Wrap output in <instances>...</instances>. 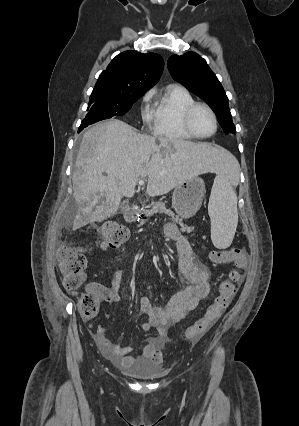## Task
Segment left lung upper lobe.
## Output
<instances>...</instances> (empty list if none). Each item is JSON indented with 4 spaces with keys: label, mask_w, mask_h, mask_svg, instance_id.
Instances as JSON below:
<instances>
[{
    "label": "left lung upper lobe",
    "mask_w": 299,
    "mask_h": 426,
    "mask_svg": "<svg viewBox=\"0 0 299 426\" xmlns=\"http://www.w3.org/2000/svg\"><path fill=\"white\" fill-rule=\"evenodd\" d=\"M167 66L174 80L211 106L226 134L236 133L225 91L203 58L194 52L172 55Z\"/></svg>",
    "instance_id": "left-lung-upper-lobe-1"
}]
</instances>
